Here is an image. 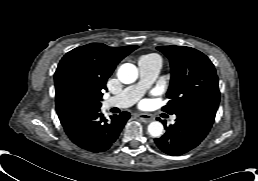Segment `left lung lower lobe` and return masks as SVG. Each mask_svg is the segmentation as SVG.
I'll return each instance as SVG.
<instances>
[{"mask_svg":"<svg viewBox=\"0 0 258 181\" xmlns=\"http://www.w3.org/2000/svg\"><path fill=\"white\" fill-rule=\"evenodd\" d=\"M216 113L191 111L177 114L176 123L166 126V133L155 139L156 146L171 156L182 155L198 146L206 137Z\"/></svg>","mask_w":258,"mask_h":181,"instance_id":"0a47b994","label":"left lung lower lobe"}]
</instances>
